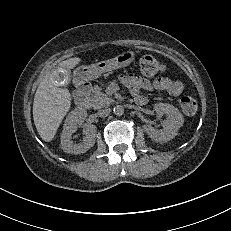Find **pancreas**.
Listing matches in <instances>:
<instances>
[{"instance_id":"cf45deb5","label":"pancreas","mask_w":231,"mask_h":231,"mask_svg":"<svg viewBox=\"0 0 231 231\" xmlns=\"http://www.w3.org/2000/svg\"><path fill=\"white\" fill-rule=\"evenodd\" d=\"M92 91L93 95L90 98V105L94 109H99L113 103V99L107 94L103 93L100 86L95 85Z\"/></svg>"}]
</instances>
